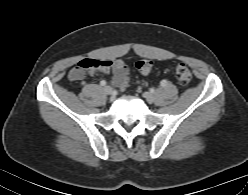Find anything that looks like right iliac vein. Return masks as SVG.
<instances>
[{
    "label": "right iliac vein",
    "instance_id": "1",
    "mask_svg": "<svg viewBox=\"0 0 248 195\" xmlns=\"http://www.w3.org/2000/svg\"><path fill=\"white\" fill-rule=\"evenodd\" d=\"M104 91L107 95H112L113 94V89L110 86H105Z\"/></svg>",
    "mask_w": 248,
    "mask_h": 195
}]
</instances>
